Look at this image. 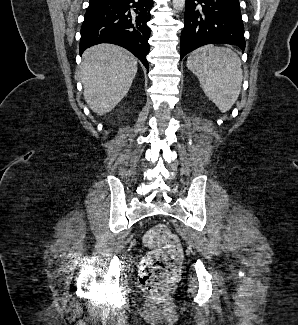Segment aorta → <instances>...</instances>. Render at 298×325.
Segmentation results:
<instances>
[{"label": "aorta", "instance_id": "aorta-1", "mask_svg": "<svg viewBox=\"0 0 298 325\" xmlns=\"http://www.w3.org/2000/svg\"><path fill=\"white\" fill-rule=\"evenodd\" d=\"M185 2L186 0H172L173 8H175L176 12L183 10Z\"/></svg>", "mask_w": 298, "mask_h": 325}]
</instances>
